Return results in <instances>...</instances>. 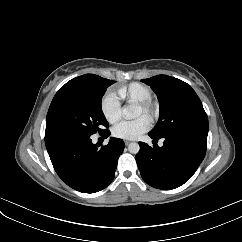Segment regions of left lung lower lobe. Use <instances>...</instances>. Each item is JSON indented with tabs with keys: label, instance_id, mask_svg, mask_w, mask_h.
Wrapping results in <instances>:
<instances>
[{
	"label": "left lung lower lobe",
	"instance_id": "1",
	"mask_svg": "<svg viewBox=\"0 0 242 242\" xmlns=\"http://www.w3.org/2000/svg\"><path fill=\"white\" fill-rule=\"evenodd\" d=\"M207 132L186 131L164 138L163 146L139 142L136 161L143 180L150 186L170 190L187 182L204 159ZM148 135L157 141L153 135Z\"/></svg>",
	"mask_w": 242,
	"mask_h": 242
}]
</instances>
